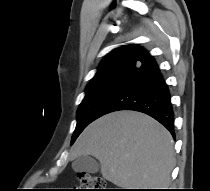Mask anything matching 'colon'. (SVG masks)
I'll return each instance as SVG.
<instances>
[{
    "mask_svg": "<svg viewBox=\"0 0 210 191\" xmlns=\"http://www.w3.org/2000/svg\"><path fill=\"white\" fill-rule=\"evenodd\" d=\"M77 179L79 183L77 191H108L101 177L79 173Z\"/></svg>",
    "mask_w": 210,
    "mask_h": 191,
    "instance_id": "obj_1",
    "label": "colon"
}]
</instances>
